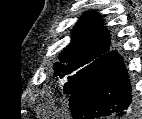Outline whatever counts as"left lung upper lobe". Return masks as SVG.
Instances as JSON below:
<instances>
[{
    "instance_id": "left-lung-upper-lobe-1",
    "label": "left lung upper lobe",
    "mask_w": 142,
    "mask_h": 119,
    "mask_svg": "<svg viewBox=\"0 0 142 119\" xmlns=\"http://www.w3.org/2000/svg\"><path fill=\"white\" fill-rule=\"evenodd\" d=\"M73 31L71 43L59 56L61 62L55 63L54 76L63 79L66 94H71L110 51V35L97 13H85Z\"/></svg>"
}]
</instances>
